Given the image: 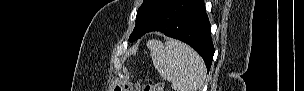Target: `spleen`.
<instances>
[{
    "mask_svg": "<svg viewBox=\"0 0 304 91\" xmlns=\"http://www.w3.org/2000/svg\"><path fill=\"white\" fill-rule=\"evenodd\" d=\"M153 65L161 76L172 83L175 91H197L206 78L201 57L181 41L169 39L149 44Z\"/></svg>",
    "mask_w": 304,
    "mask_h": 91,
    "instance_id": "obj_1",
    "label": "spleen"
}]
</instances>
